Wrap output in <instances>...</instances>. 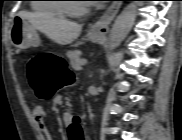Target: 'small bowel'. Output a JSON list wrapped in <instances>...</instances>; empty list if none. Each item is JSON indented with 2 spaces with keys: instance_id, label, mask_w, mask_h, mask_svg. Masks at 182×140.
Here are the masks:
<instances>
[{
  "instance_id": "1",
  "label": "small bowel",
  "mask_w": 182,
  "mask_h": 140,
  "mask_svg": "<svg viewBox=\"0 0 182 140\" xmlns=\"http://www.w3.org/2000/svg\"><path fill=\"white\" fill-rule=\"evenodd\" d=\"M32 113H33L35 122L37 123V125L39 126V128L41 129L44 135L45 140H54L45 122V118H46L45 109L41 105H35L33 107ZM65 121L69 123L70 117L69 116L65 117Z\"/></svg>"
}]
</instances>
